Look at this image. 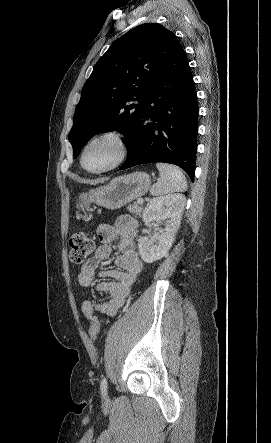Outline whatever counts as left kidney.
Instances as JSON below:
<instances>
[{
  "instance_id": "5707ae66",
  "label": "left kidney",
  "mask_w": 271,
  "mask_h": 443,
  "mask_svg": "<svg viewBox=\"0 0 271 443\" xmlns=\"http://www.w3.org/2000/svg\"><path fill=\"white\" fill-rule=\"evenodd\" d=\"M185 200L183 194H170L154 198L145 208L142 214L143 222L149 223L153 220L157 223H161L162 220L166 222V227L155 235H143L138 239V251L146 263H152L167 255L179 229Z\"/></svg>"
}]
</instances>
